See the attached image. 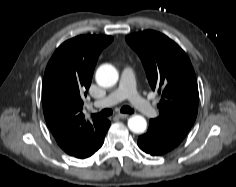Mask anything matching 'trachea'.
<instances>
[{
    "label": "trachea",
    "mask_w": 236,
    "mask_h": 187,
    "mask_svg": "<svg viewBox=\"0 0 236 187\" xmlns=\"http://www.w3.org/2000/svg\"><path fill=\"white\" fill-rule=\"evenodd\" d=\"M121 112L122 113H128V114H132L134 113V110L129 107V106H123L121 108ZM112 114V110L111 109H104L101 112L97 113V114H92V117L94 118H103V117H108Z\"/></svg>",
    "instance_id": "3493384b"
}]
</instances>
